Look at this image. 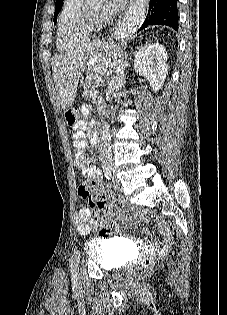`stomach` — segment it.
Segmentation results:
<instances>
[{
  "instance_id": "stomach-1",
  "label": "stomach",
  "mask_w": 227,
  "mask_h": 315,
  "mask_svg": "<svg viewBox=\"0 0 227 315\" xmlns=\"http://www.w3.org/2000/svg\"><path fill=\"white\" fill-rule=\"evenodd\" d=\"M87 67L88 68H84L83 73H82L83 80H78V82H77V85H78L80 91H89L90 86H89L88 82H94V80H95L94 68H91L88 65H87ZM73 114L75 116L77 115V113L75 111H73Z\"/></svg>"
}]
</instances>
